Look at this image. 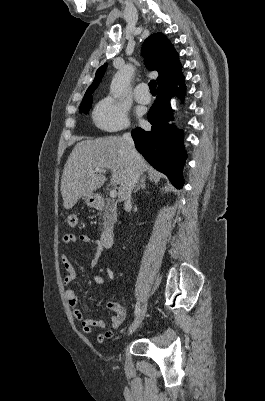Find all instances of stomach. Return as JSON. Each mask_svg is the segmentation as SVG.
<instances>
[{"mask_svg":"<svg viewBox=\"0 0 265 401\" xmlns=\"http://www.w3.org/2000/svg\"><path fill=\"white\" fill-rule=\"evenodd\" d=\"M85 203H87L88 207H95L97 201L94 194H92V196H85Z\"/></svg>","mask_w":265,"mask_h":401,"instance_id":"stomach-1","label":"stomach"}]
</instances>
